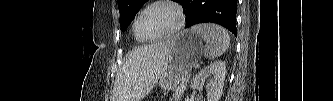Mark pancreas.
I'll use <instances>...</instances> for the list:
<instances>
[{
  "instance_id": "cf45deb5",
  "label": "pancreas",
  "mask_w": 333,
  "mask_h": 101,
  "mask_svg": "<svg viewBox=\"0 0 333 101\" xmlns=\"http://www.w3.org/2000/svg\"><path fill=\"white\" fill-rule=\"evenodd\" d=\"M189 81V76H185L181 79L179 85L176 87L174 94L170 98V101H179L186 90L187 83Z\"/></svg>"
}]
</instances>
